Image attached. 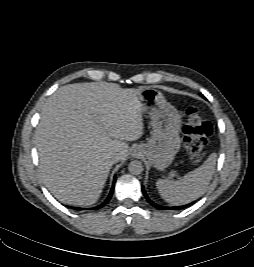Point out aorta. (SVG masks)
Segmentation results:
<instances>
[{"instance_id":"aorta-1","label":"aorta","mask_w":254,"mask_h":267,"mask_svg":"<svg viewBox=\"0 0 254 267\" xmlns=\"http://www.w3.org/2000/svg\"><path fill=\"white\" fill-rule=\"evenodd\" d=\"M143 165L138 160H133L128 165V171L133 175H139L143 172Z\"/></svg>"}]
</instances>
